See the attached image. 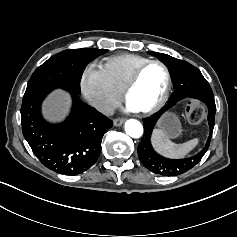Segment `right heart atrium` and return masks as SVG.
<instances>
[{"label": "right heart atrium", "instance_id": "obj_1", "mask_svg": "<svg viewBox=\"0 0 237 237\" xmlns=\"http://www.w3.org/2000/svg\"><path fill=\"white\" fill-rule=\"evenodd\" d=\"M80 88L87 102L101 114L111 113L120 102V92L112 85L104 69L94 63L83 70Z\"/></svg>", "mask_w": 237, "mask_h": 237}]
</instances>
